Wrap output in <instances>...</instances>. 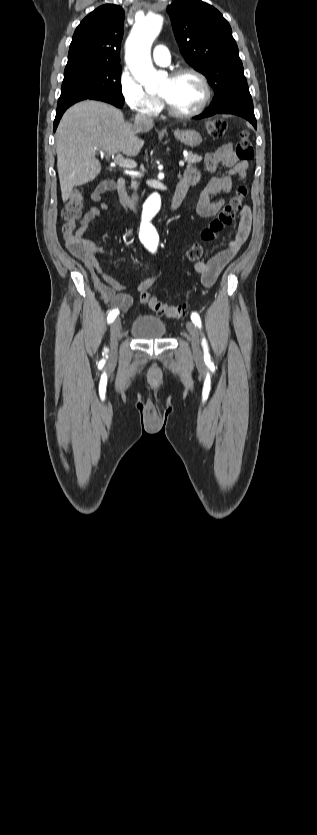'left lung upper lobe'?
<instances>
[{"instance_id": "left-lung-upper-lobe-1", "label": "left lung upper lobe", "mask_w": 317, "mask_h": 835, "mask_svg": "<svg viewBox=\"0 0 317 835\" xmlns=\"http://www.w3.org/2000/svg\"><path fill=\"white\" fill-rule=\"evenodd\" d=\"M168 13L181 54L214 89L210 106L241 103L253 107L238 47L222 14L198 0L175 1Z\"/></svg>"}]
</instances>
